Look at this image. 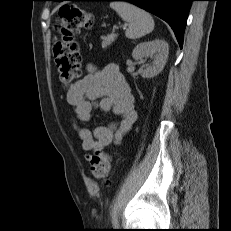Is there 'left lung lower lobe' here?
Returning <instances> with one entry per match:
<instances>
[{
    "instance_id": "1",
    "label": "left lung lower lobe",
    "mask_w": 231,
    "mask_h": 231,
    "mask_svg": "<svg viewBox=\"0 0 231 231\" xmlns=\"http://www.w3.org/2000/svg\"><path fill=\"white\" fill-rule=\"evenodd\" d=\"M64 1V0H60ZM88 1H127L160 17L173 29L180 47L183 45V35L188 12L193 0H88Z\"/></svg>"
}]
</instances>
